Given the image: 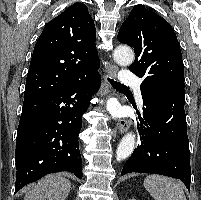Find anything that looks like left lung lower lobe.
I'll return each instance as SVG.
<instances>
[{
  "instance_id": "0a47b994",
  "label": "left lung lower lobe",
  "mask_w": 201,
  "mask_h": 200,
  "mask_svg": "<svg viewBox=\"0 0 201 200\" xmlns=\"http://www.w3.org/2000/svg\"><path fill=\"white\" fill-rule=\"evenodd\" d=\"M142 99L145 127H139L140 142L121 176L132 172L167 175L180 179L190 191L184 88H153L142 92Z\"/></svg>"
}]
</instances>
